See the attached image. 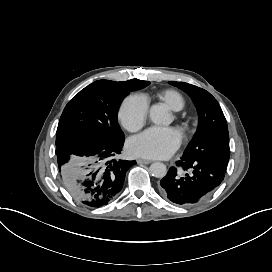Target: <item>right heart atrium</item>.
Returning a JSON list of instances; mask_svg holds the SVG:
<instances>
[{
  "instance_id": "1",
  "label": "right heart atrium",
  "mask_w": 272,
  "mask_h": 272,
  "mask_svg": "<svg viewBox=\"0 0 272 272\" xmlns=\"http://www.w3.org/2000/svg\"><path fill=\"white\" fill-rule=\"evenodd\" d=\"M148 110V101L143 95L132 94L127 96L119 112L123 127L130 132L141 129L146 122Z\"/></svg>"
}]
</instances>
